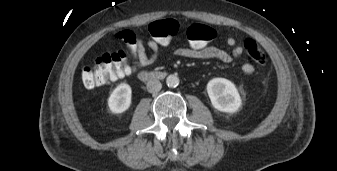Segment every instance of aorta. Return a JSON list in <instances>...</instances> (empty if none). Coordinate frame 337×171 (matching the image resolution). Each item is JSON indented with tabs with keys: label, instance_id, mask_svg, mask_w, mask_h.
Instances as JSON below:
<instances>
[{
	"label": "aorta",
	"instance_id": "obj_1",
	"mask_svg": "<svg viewBox=\"0 0 337 171\" xmlns=\"http://www.w3.org/2000/svg\"><path fill=\"white\" fill-rule=\"evenodd\" d=\"M168 87H177L179 85V78L177 75L171 74L166 78Z\"/></svg>",
	"mask_w": 337,
	"mask_h": 171
}]
</instances>
